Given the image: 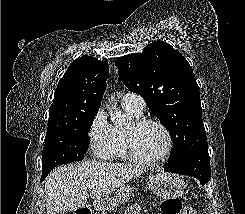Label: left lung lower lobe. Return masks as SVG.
<instances>
[{
	"mask_svg": "<svg viewBox=\"0 0 245 214\" xmlns=\"http://www.w3.org/2000/svg\"><path fill=\"white\" fill-rule=\"evenodd\" d=\"M166 172L189 175L197 178L205 185L211 177L208 149L197 150L165 168Z\"/></svg>",
	"mask_w": 245,
	"mask_h": 214,
	"instance_id": "left-lung-lower-lobe-1",
	"label": "left lung lower lobe"
}]
</instances>
